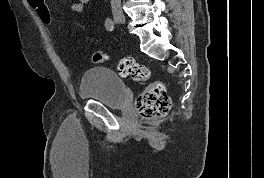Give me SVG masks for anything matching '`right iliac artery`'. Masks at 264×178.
<instances>
[{
    "label": "right iliac artery",
    "mask_w": 264,
    "mask_h": 178,
    "mask_svg": "<svg viewBox=\"0 0 264 178\" xmlns=\"http://www.w3.org/2000/svg\"><path fill=\"white\" fill-rule=\"evenodd\" d=\"M105 27L108 31H113L114 30V22L112 19L107 18L105 21Z\"/></svg>",
    "instance_id": "obj_1"
}]
</instances>
